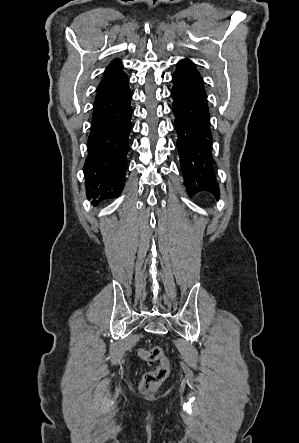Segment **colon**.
Masks as SVG:
<instances>
[{"label": "colon", "mask_w": 299, "mask_h": 443, "mask_svg": "<svg viewBox=\"0 0 299 443\" xmlns=\"http://www.w3.org/2000/svg\"><path fill=\"white\" fill-rule=\"evenodd\" d=\"M140 356L149 363L157 362L155 370L145 373L140 382L142 393H150L168 377L170 372L169 359L161 347H153L149 350L141 349Z\"/></svg>", "instance_id": "obj_1"}]
</instances>
